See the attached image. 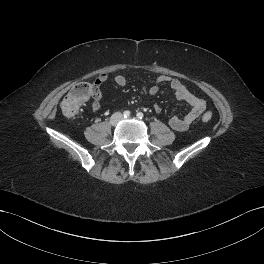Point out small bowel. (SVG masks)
<instances>
[{"instance_id":"1","label":"small bowel","mask_w":264,"mask_h":264,"mask_svg":"<svg viewBox=\"0 0 264 264\" xmlns=\"http://www.w3.org/2000/svg\"><path fill=\"white\" fill-rule=\"evenodd\" d=\"M107 80L108 75L103 73L100 74L93 83L94 92L92 95V110L94 112H97L100 109V88ZM113 81L119 87H124L127 83V80L123 75H115ZM162 84H169L174 92V99L189 106V111L185 116H174L169 120V125L174 130L186 131L192 122L205 111V101L191 93L177 78L169 75H161L157 77L150 86H142V90L149 96H154L159 92ZM153 108L156 113L161 112V107L157 103L153 105Z\"/></svg>"}]
</instances>
